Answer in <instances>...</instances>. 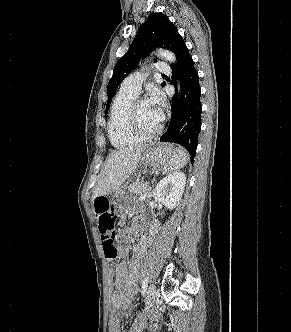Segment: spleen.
Segmentation results:
<instances>
[{
	"mask_svg": "<svg viewBox=\"0 0 291 332\" xmlns=\"http://www.w3.org/2000/svg\"><path fill=\"white\" fill-rule=\"evenodd\" d=\"M189 160V156L182 147L177 149V154L170 162L164 167L163 174L179 170L184 167Z\"/></svg>",
	"mask_w": 291,
	"mask_h": 332,
	"instance_id": "3e777b00",
	"label": "spleen"
}]
</instances>
